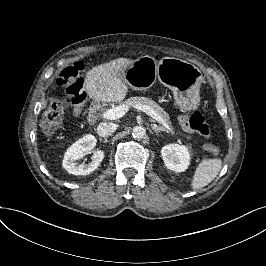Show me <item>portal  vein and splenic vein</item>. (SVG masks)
Masks as SVG:
<instances>
[{
  "label": "portal vein and splenic vein",
  "mask_w": 266,
  "mask_h": 266,
  "mask_svg": "<svg viewBox=\"0 0 266 266\" xmlns=\"http://www.w3.org/2000/svg\"><path fill=\"white\" fill-rule=\"evenodd\" d=\"M137 109L140 111H144L150 117L155 119L173 137H175V138L178 137L177 133L172 129L171 124L169 122L165 121L161 116H158L157 113L154 112L152 109H150L147 106H139ZM126 112H127V108H125L123 106H119V107H115V108L108 109V110L104 111L102 113L101 117L104 120H117V119L121 118Z\"/></svg>",
  "instance_id": "18ae733b"
}]
</instances>
